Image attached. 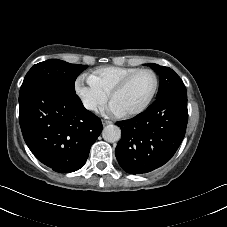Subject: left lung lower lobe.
<instances>
[{
    "label": "left lung lower lobe",
    "mask_w": 227,
    "mask_h": 227,
    "mask_svg": "<svg viewBox=\"0 0 227 227\" xmlns=\"http://www.w3.org/2000/svg\"><path fill=\"white\" fill-rule=\"evenodd\" d=\"M187 94L168 93L136 117L119 121L122 138L115 149L120 166L130 174L148 173L168 162L187 127Z\"/></svg>",
    "instance_id": "0a47b994"
}]
</instances>
